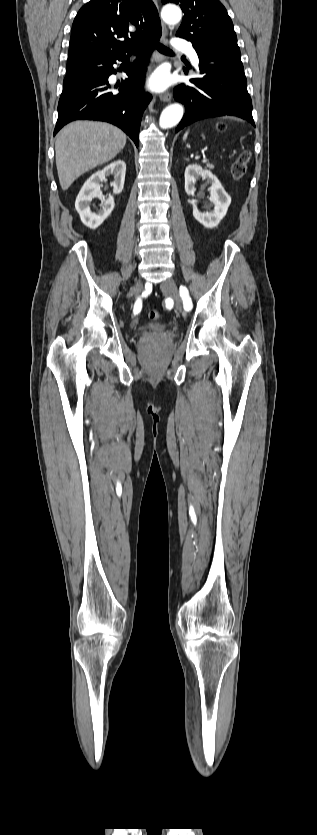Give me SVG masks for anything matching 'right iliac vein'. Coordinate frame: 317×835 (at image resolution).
<instances>
[{
	"mask_svg": "<svg viewBox=\"0 0 317 835\" xmlns=\"http://www.w3.org/2000/svg\"><path fill=\"white\" fill-rule=\"evenodd\" d=\"M141 288H142L141 282L139 280L136 281L134 287L131 289V294H137L138 292H140Z\"/></svg>",
	"mask_w": 317,
	"mask_h": 835,
	"instance_id": "right-iliac-vein-1",
	"label": "right iliac vein"
}]
</instances>
